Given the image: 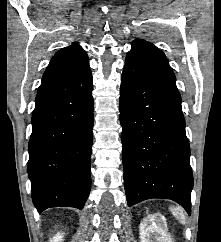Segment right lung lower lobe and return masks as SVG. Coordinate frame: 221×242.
<instances>
[{
	"label": "right lung lower lobe",
	"mask_w": 221,
	"mask_h": 242,
	"mask_svg": "<svg viewBox=\"0 0 221 242\" xmlns=\"http://www.w3.org/2000/svg\"><path fill=\"white\" fill-rule=\"evenodd\" d=\"M93 80L91 71L38 91L28 145V175L38 212L82 209L90 193Z\"/></svg>",
	"instance_id": "98d812e1"
}]
</instances>
